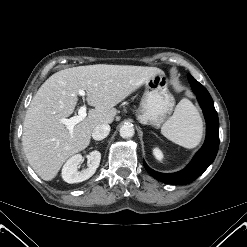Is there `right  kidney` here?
<instances>
[{
    "label": "right kidney",
    "mask_w": 247,
    "mask_h": 247,
    "mask_svg": "<svg viewBox=\"0 0 247 247\" xmlns=\"http://www.w3.org/2000/svg\"><path fill=\"white\" fill-rule=\"evenodd\" d=\"M89 161L88 167L78 171V165L82 162L81 154L72 156L64 164L62 168V178L67 183H78L89 179L97 170L101 160V153L99 151H92L87 155Z\"/></svg>",
    "instance_id": "ca27d5eb"
}]
</instances>
